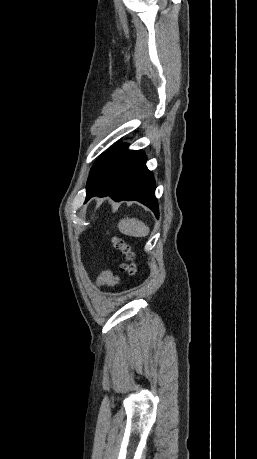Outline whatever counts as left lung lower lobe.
Listing matches in <instances>:
<instances>
[{
    "label": "left lung lower lobe",
    "instance_id": "1",
    "mask_svg": "<svg viewBox=\"0 0 257 459\" xmlns=\"http://www.w3.org/2000/svg\"><path fill=\"white\" fill-rule=\"evenodd\" d=\"M97 177L87 190L86 200L93 196H111L115 201L137 200L148 206L158 217L155 182L146 167L142 151L115 145L99 157Z\"/></svg>",
    "mask_w": 257,
    "mask_h": 459
}]
</instances>
